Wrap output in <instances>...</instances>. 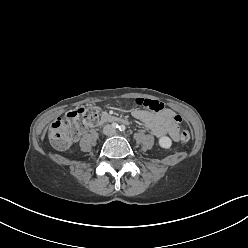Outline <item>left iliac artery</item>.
Instances as JSON below:
<instances>
[{
	"mask_svg": "<svg viewBox=\"0 0 248 248\" xmlns=\"http://www.w3.org/2000/svg\"><path fill=\"white\" fill-rule=\"evenodd\" d=\"M125 129H126V128H125V126H124V125L119 126V130H120V131H122V132H123V131H125Z\"/></svg>",
	"mask_w": 248,
	"mask_h": 248,
	"instance_id": "44dca946",
	"label": "left iliac artery"
}]
</instances>
